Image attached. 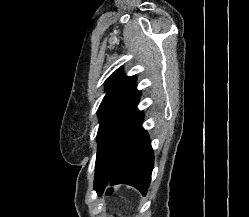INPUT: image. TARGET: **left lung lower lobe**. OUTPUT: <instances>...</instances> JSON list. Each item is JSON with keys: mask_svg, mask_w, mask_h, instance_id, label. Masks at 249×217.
<instances>
[{"mask_svg": "<svg viewBox=\"0 0 249 217\" xmlns=\"http://www.w3.org/2000/svg\"><path fill=\"white\" fill-rule=\"evenodd\" d=\"M143 117V112L135 108L121 124L111 171L96 168L94 187L98 195L103 193L108 182L134 186L146 195L154 156L149 135L142 128Z\"/></svg>", "mask_w": 249, "mask_h": 217, "instance_id": "obj_1", "label": "left lung lower lobe"}]
</instances>
